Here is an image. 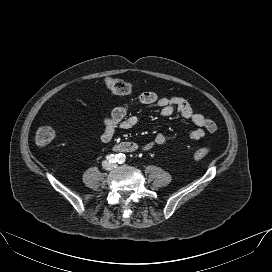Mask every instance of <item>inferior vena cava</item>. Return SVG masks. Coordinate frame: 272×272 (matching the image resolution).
<instances>
[{
  "mask_svg": "<svg viewBox=\"0 0 272 272\" xmlns=\"http://www.w3.org/2000/svg\"><path fill=\"white\" fill-rule=\"evenodd\" d=\"M102 166L106 170H111L114 167L113 163H109L108 161H103Z\"/></svg>",
  "mask_w": 272,
  "mask_h": 272,
  "instance_id": "1",
  "label": "inferior vena cava"
}]
</instances>
